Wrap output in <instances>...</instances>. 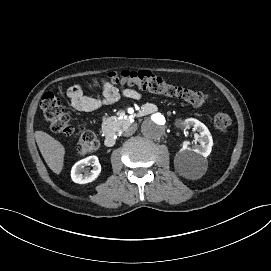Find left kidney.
<instances>
[{"mask_svg": "<svg viewBox=\"0 0 271 271\" xmlns=\"http://www.w3.org/2000/svg\"><path fill=\"white\" fill-rule=\"evenodd\" d=\"M185 125L189 128L193 126L201 135L199 137L198 145L191 146L189 142L183 141L182 150L176 157L177 160L183 165L191 163L192 160L197 159V155L202 157L208 156L213 146L212 135L204 123L196 118H188L185 121Z\"/></svg>", "mask_w": 271, "mask_h": 271, "instance_id": "left-kidney-1", "label": "left kidney"}]
</instances>
